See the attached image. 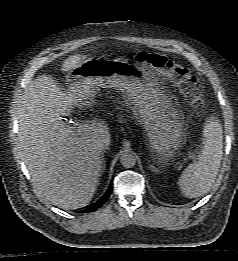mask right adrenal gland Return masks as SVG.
I'll return each mask as SVG.
<instances>
[{
  "instance_id": "obj_1",
  "label": "right adrenal gland",
  "mask_w": 238,
  "mask_h": 261,
  "mask_svg": "<svg viewBox=\"0 0 238 261\" xmlns=\"http://www.w3.org/2000/svg\"><path fill=\"white\" fill-rule=\"evenodd\" d=\"M101 159H102V171H105L106 169V161H105V158H104V154L101 155Z\"/></svg>"
}]
</instances>
